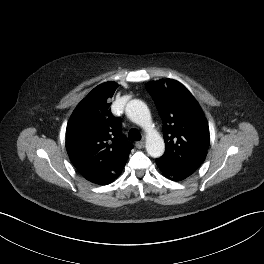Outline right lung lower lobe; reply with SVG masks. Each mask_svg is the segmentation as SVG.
I'll return each instance as SVG.
<instances>
[{
    "label": "right lung lower lobe",
    "mask_w": 264,
    "mask_h": 264,
    "mask_svg": "<svg viewBox=\"0 0 264 264\" xmlns=\"http://www.w3.org/2000/svg\"><path fill=\"white\" fill-rule=\"evenodd\" d=\"M121 170L109 173L101 168L78 169L84 178L99 185H106L114 181L121 174Z\"/></svg>",
    "instance_id": "1"
}]
</instances>
